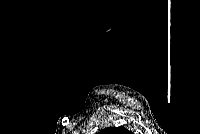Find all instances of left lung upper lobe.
Returning <instances> with one entry per match:
<instances>
[{"label": "left lung upper lobe", "instance_id": "1", "mask_svg": "<svg viewBox=\"0 0 200 134\" xmlns=\"http://www.w3.org/2000/svg\"><path fill=\"white\" fill-rule=\"evenodd\" d=\"M99 134H132L124 127H108L99 132Z\"/></svg>", "mask_w": 200, "mask_h": 134}]
</instances>
